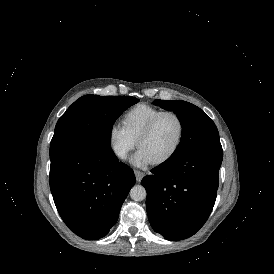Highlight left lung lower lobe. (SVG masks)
Wrapping results in <instances>:
<instances>
[{
	"label": "left lung lower lobe",
	"mask_w": 274,
	"mask_h": 274,
	"mask_svg": "<svg viewBox=\"0 0 274 274\" xmlns=\"http://www.w3.org/2000/svg\"><path fill=\"white\" fill-rule=\"evenodd\" d=\"M221 146L196 149L151 170L141 183L155 232L177 241L195 234L208 219L218 188Z\"/></svg>",
	"instance_id": "0a47b994"
}]
</instances>
